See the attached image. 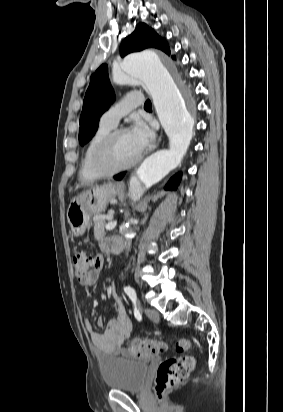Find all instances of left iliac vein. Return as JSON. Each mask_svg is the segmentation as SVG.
Masks as SVG:
<instances>
[{
  "instance_id": "4c4485c4",
  "label": "left iliac vein",
  "mask_w": 283,
  "mask_h": 412,
  "mask_svg": "<svg viewBox=\"0 0 283 412\" xmlns=\"http://www.w3.org/2000/svg\"><path fill=\"white\" fill-rule=\"evenodd\" d=\"M145 313H146V315L148 316V318H149L150 320H152L153 322H158L159 319H160L159 313H158L155 309L146 308V309H145Z\"/></svg>"
}]
</instances>
